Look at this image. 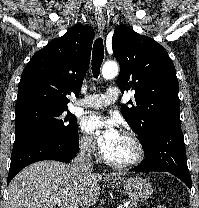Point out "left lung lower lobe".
Masks as SVG:
<instances>
[{
	"label": "left lung lower lobe",
	"instance_id": "left-lung-lower-lobe-1",
	"mask_svg": "<svg viewBox=\"0 0 199 208\" xmlns=\"http://www.w3.org/2000/svg\"><path fill=\"white\" fill-rule=\"evenodd\" d=\"M142 147L145 152V160L130 171L169 172L181 179L191 189V176L187 166L184 137L180 124L156 129L147 144Z\"/></svg>",
	"mask_w": 199,
	"mask_h": 208
}]
</instances>
